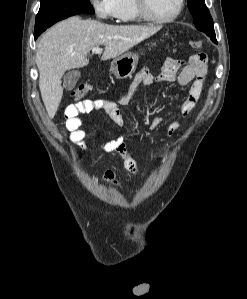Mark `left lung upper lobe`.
<instances>
[{"label": "left lung upper lobe", "mask_w": 247, "mask_h": 299, "mask_svg": "<svg viewBox=\"0 0 247 299\" xmlns=\"http://www.w3.org/2000/svg\"><path fill=\"white\" fill-rule=\"evenodd\" d=\"M188 7L193 15L196 28L208 35L211 40L217 41L213 20L205 4V0H188Z\"/></svg>", "instance_id": "left-lung-upper-lobe-1"}]
</instances>
